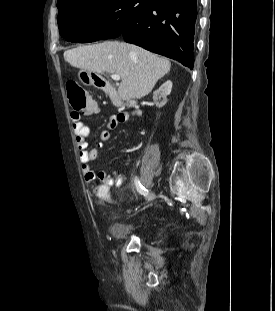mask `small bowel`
<instances>
[{"label":"small bowel","mask_w":275,"mask_h":311,"mask_svg":"<svg viewBox=\"0 0 275 311\" xmlns=\"http://www.w3.org/2000/svg\"><path fill=\"white\" fill-rule=\"evenodd\" d=\"M132 116L134 118H140L142 116V111L137 109L129 112H120L112 116L107 124L109 129H114L120 123L125 122ZM73 120V130L75 133V141L78 148L79 161L81 163L82 173L85 181L92 186L93 190H99L95 186L97 181L100 183H112L113 185L121 186L124 184V178L116 172L108 174L104 170L96 171L90 166V163L95 161L98 157L99 150L104 148L107 140L109 139V131H103L100 134L98 141L94 148H89L87 139L89 136V129L81 121L80 114L73 112L71 114ZM101 198V197H100Z\"/></svg>","instance_id":"small-bowel-1"}]
</instances>
